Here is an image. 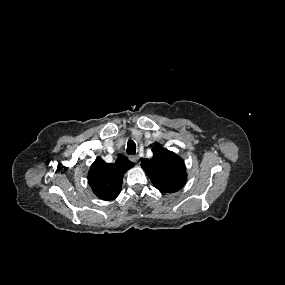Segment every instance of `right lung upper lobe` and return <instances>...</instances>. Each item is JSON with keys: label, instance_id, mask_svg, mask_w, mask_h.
I'll return each mask as SVG.
<instances>
[{"label": "right lung upper lobe", "instance_id": "cb5924a9", "mask_svg": "<svg viewBox=\"0 0 285 285\" xmlns=\"http://www.w3.org/2000/svg\"><path fill=\"white\" fill-rule=\"evenodd\" d=\"M133 166L122 154L114 163H106L98 156L88 172V183L98 198L114 200L121 192L124 174Z\"/></svg>", "mask_w": 285, "mask_h": 285}]
</instances>
